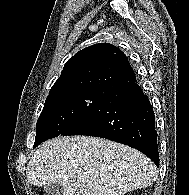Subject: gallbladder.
Here are the masks:
<instances>
[{"instance_id": "gallbladder-1", "label": "gallbladder", "mask_w": 189, "mask_h": 195, "mask_svg": "<svg viewBox=\"0 0 189 195\" xmlns=\"http://www.w3.org/2000/svg\"><path fill=\"white\" fill-rule=\"evenodd\" d=\"M44 192L46 195H61L63 188L58 183H50L44 186Z\"/></svg>"}]
</instances>
